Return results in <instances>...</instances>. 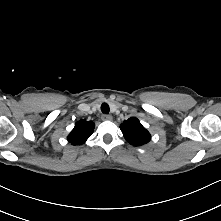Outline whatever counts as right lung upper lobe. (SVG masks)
<instances>
[{"label":"right lung upper lobe","instance_id":"right-lung-upper-lobe-1","mask_svg":"<svg viewBox=\"0 0 221 221\" xmlns=\"http://www.w3.org/2000/svg\"><path fill=\"white\" fill-rule=\"evenodd\" d=\"M95 124L92 121L80 120L68 135V141L73 145H81L92 135Z\"/></svg>","mask_w":221,"mask_h":221}]
</instances>
